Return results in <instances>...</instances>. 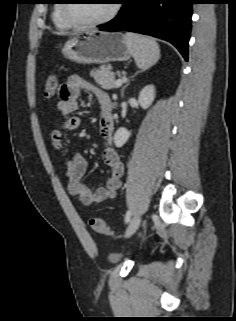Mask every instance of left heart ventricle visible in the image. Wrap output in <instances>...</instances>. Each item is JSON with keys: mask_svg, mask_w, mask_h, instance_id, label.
Segmentation results:
<instances>
[{"mask_svg": "<svg viewBox=\"0 0 236 321\" xmlns=\"http://www.w3.org/2000/svg\"><path fill=\"white\" fill-rule=\"evenodd\" d=\"M113 3L108 0H82L71 3L70 14L79 21H96L104 18L111 10Z\"/></svg>", "mask_w": 236, "mask_h": 321, "instance_id": "obj_1", "label": "left heart ventricle"}]
</instances>
